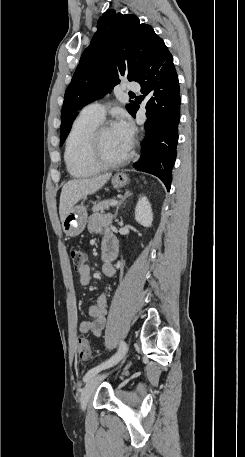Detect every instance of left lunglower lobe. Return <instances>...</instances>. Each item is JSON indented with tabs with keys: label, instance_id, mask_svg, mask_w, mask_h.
Here are the masks:
<instances>
[{
	"label": "left lung lower lobe",
	"instance_id": "1",
	"mask_svg": "<svg viewBox=\"0 0 245 457\" xmlns=\"http://www.w3.org/2000/svg\"><path fill=\"white\" fill-rule=\"evenodd\" d=\"M136 82L141 84L142 97L148 96V121L142 155L133 167L159 177L169 191L179 138L181 99L173 57L164 42L151 53ZM138 108L134 102L130 111L133 117Z\"/></svg>",
	"mask_w": 245,
	"mask_h": 457
}]
</instances>
